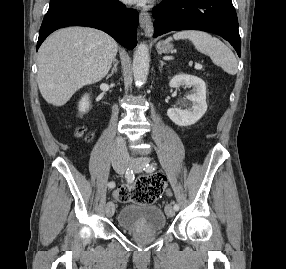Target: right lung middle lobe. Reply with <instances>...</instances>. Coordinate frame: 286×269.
Returning a JSON list of instances; mask_svg holds the SVG:
<instances>
[{
    "label": "right lung middle lobe",
    "mask_w": 286,
    "mask_h": 269,
    "mask_svg": "<svg viewBox=\"0 0 286 269\" xmlns=\"http://www.w3.org/2000/svg\"><path fill=\"white\" fill-rule=\"evenodd\" d=\"M65 1H67V0H50V6H54V5L60 4V3L65 2ZM98 1L103 2L106 5H110L115 0H98Z\"/></svg>",
    "instance_id": "right-lung-middle-lobe-1"
}]
</instances>
